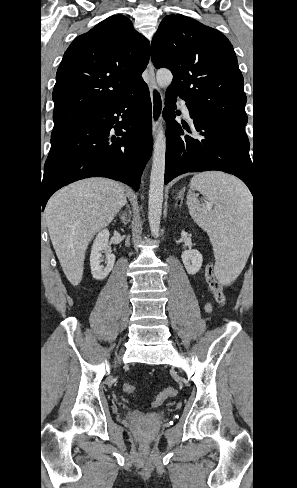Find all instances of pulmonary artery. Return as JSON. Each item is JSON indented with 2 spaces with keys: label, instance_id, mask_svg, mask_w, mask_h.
Segmentation results:
<instances>
[{
  "label": "pulmonary artery",
  "instance_id": "pulmonary-artery-1",
  "mask_svg": "<svg viewBox=\"0 0 297 488\" xmlns=\"http://www.w3.org/2000/svg\"><path fill=\"white\" fill-rule=\"evenodd\" d=\"M179 104H180V107H181V110H182L184 116L189 118V109L187 107L186 102L184 100L180 99Z\"/></svg>",
  "mask_w": 297,
  "mask_h": 488
}]
</instances>
